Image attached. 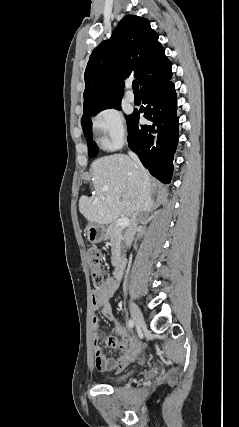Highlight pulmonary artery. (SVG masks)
Returning <instances> with one entry per match:
<instances>
[{
	"instance_id": "1",
	"label": "pulmonary artery",
	"mask_w": 239,
	"mask_h": 427,
	"mask_svg": "<svg viewBox=\"0 0 239 427\" xmlns=\"http://www.w3.org/2000/svg\"><path fill=\"white\" fill-rule=\"evenodd\" d=\"M126 99H127L128 102H134L135 96H134V94H133V92L131 90H128L126 92Z\"/></svg>"
}]
</instances>
